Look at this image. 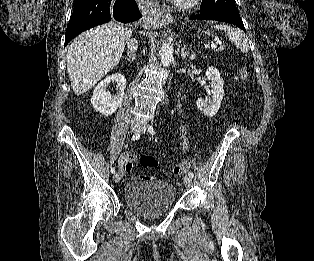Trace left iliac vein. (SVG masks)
I'll return each instance as SVG.
<instances>
[{
  "instance_id": "1",
  "label": "left iliac vein",
  "mask_w": 314,
  "mask_h": 261,
  "mask_svg": "<svg viewBox=\"0 0 314 261\" xmlns=\"http://www.w3.org/2000/svg\"><path fill=\"white\" fill-rule=\"evenodd\" d=\"M147 131V126H146V123H142L141 124V127L139 129V132L142 133V134H145ZM184 185L187 189L191 188L192 185H193V182H192V178L188 175H186L184 177Z\"/></svg>"
}]
</instances>
